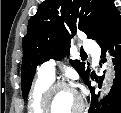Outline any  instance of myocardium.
I'll use <instances>...</instances> for the list:
<instances>
[{"instance_id": "myocardium-1", "label": "myocardium", "mask_w": 121, "mask_h": 113, "mask_svg": "<svg viewBox=\"0 0 121 113\" xmlns=\"http://www.w3.org/2000/svg\"><path fill=\"white\" fill-rule=\"evenodd\" d=\"M61 89L70 90L77 97L78 104L73 110L70 111V113H77L84 109V98L81 95V93L70 83H67L64 81H57V82L51 83L44 92L43 105L45 110H53L55 105L54 95L56 92H58ZM46 113H51V112H46Z\"/></svg>"}]
</instances>
